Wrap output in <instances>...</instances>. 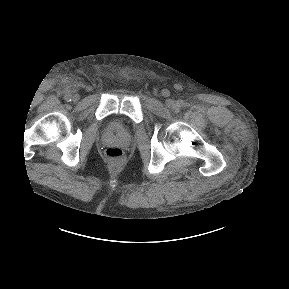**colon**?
Returning a JSON list of instances; mask_svg holds the SVG:
<instances>
[{
    "label": "colon",
    "mask_w": 289,
    "mask_h": 289,
    "mask_svg": "<svg viewBox=\"0 0 289 289\" xmlns=\"http://www.w3.org/2000/svg\"><path fill=\"white\" fill-rule=\"evenodd\" d=\"M106 158L113 164H120L124 160V152L116 146L108 147L104 152Z\"/></svg>",
    "instance_id": "obj_1"
}]
</instances>
